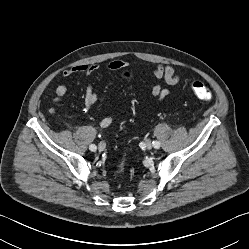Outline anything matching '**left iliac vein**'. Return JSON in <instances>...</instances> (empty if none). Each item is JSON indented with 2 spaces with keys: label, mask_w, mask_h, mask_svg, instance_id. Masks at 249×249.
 Segmentation results:
<instances>
[{
  "label": "left iliac vein",
  "mask_w": 249,
  "mask_h": 249,
  "mask_svg": "<svg viewBox=\"0 0 249 249\" xmlns=\"http://www.w3.org/2000/svg\"><path fill=\"white\" fill-rule=\"evenodd\" d=\"M145 147H146V149H148V150H151V149H152L153 143L151 142L150 139H148V140L145 141Z\"/></svg>",
  "instance_id": "obj_1"
}]
</instances>
